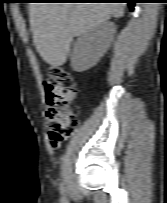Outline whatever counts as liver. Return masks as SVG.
<instances>
[{"instance_id": "1", "label": "liver", "mask_w": 167, "mask_h": 203, "mask_svg": "<svg viewBox=\"0 0 167 203\" xmlns=\"http://www.w3.org/2000/svg\"><path fill=\"white\" fill-rule=\"evenodd\" d=\"M123 3H30V25L43 60L58 67L66 63L74 37L124 15Z\"/></svg>"}]
</instances>
